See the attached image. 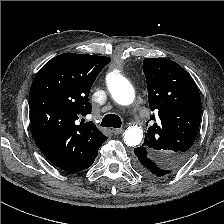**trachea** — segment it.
Instances as JSON below:
<instances>
[{
    "label": "trachea",
    "instance_id": "obj_1",
    "mask_svg": "<svg viewBox=\"0 0 224 224\" xmlns=\"http://www.w3.org/2000/svg\"><path fill=\"white\" fill-rule=\"evenodd\" d=\"M122 121L118 115L115 114H108L106 115L101 122L102 127H113V128H120Z\"/></svg>",
    "mask_w": 224,
    "mask_h": 224
}]
</instances>
